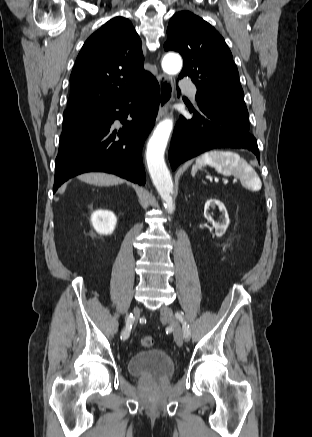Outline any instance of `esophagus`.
<instances>
[{
	"label": "esophagus",
	"mask_w": 312,
	"mask_h": 437,
	"mask_svg": "<svg viewBox=\"0 0 312 437\" xmlns=\"http://www.w3.org/2000/svg\"><path fill=\"white\" fill-rule=\"evenodd\" d=\"M160 91V105L157 115V121L165 116L168 112V107L173 99L174 83L170 76L159 73L157 75Z\"/></svg>",
	"instance_id": "1"
}]
</instances>
